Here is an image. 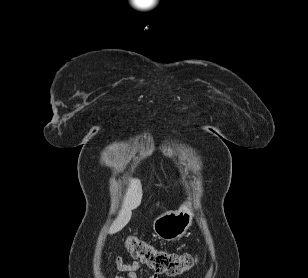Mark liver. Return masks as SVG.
<instances>
[{
    "label": "liver",
    "instance_id": "liver-1",
    "mask_svg": "<svg viewBox=\"0 0 308 278\" xmlns=\"http://www.w3.org/2000/svg\"><path fill=\"white\" fill-rule=\"evenodd\" d=\"M142 195V185L140 180L131 179L123 200L122 208L109 228L110 234L119 232L128 224L131 219L132 210L136 209L141 204Z\"/></svg>",
    "mask_w": 308,
    "mask_h": 278
}]
</instances>
